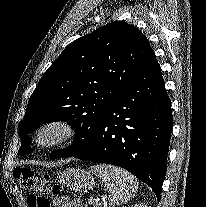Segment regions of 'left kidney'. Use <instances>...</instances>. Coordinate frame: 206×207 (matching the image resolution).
<instances>
[{
	"label": "left kidney",
	"instance_id": "obj_1",
	"mask_svg": "<svg viewBox=\"0 0 206 207\" xmlns=\"http://www.w3.org/2000/svg\"><path fill=\"white\" fill-rule=\"evenodd\" d=\"M132 207H147L146 204L144 202H140L138 204H135L134 206Z\"/></svg>",
	"mask_w": 206,
	"mask_h": 207
}]
</instances>
